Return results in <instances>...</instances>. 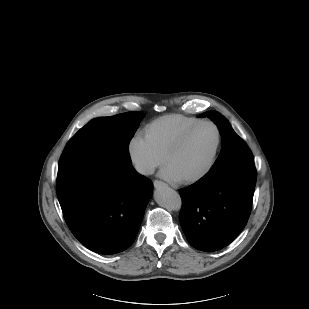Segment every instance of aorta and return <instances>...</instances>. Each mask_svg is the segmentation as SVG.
Masks as SVG:
<instances>
[{
    "label": "aorta",
    "instance_id": "obj_1",
    "mask_svg": "<svg viewBox=\"0 0 309 309\" xmlns=\"http://www.w3.org/2000/svg\"><path fill=\"white\" fill-rule=\"evenodd\" d=\"M154 199L159 206L169 211H178L182 205L180 195L165 184L155 190Z\"/></svg>",
    "mask_w": 309,
    "mask_h": 309
}]
</instances>
